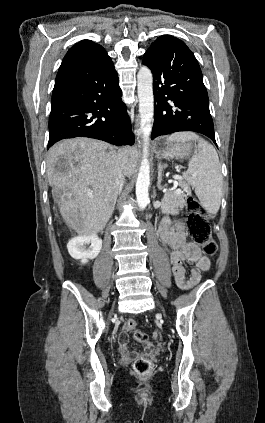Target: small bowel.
Returning a JSON list of instances; mask_svg holds the SVG:
<instances>
[{
	"label": "small bowel",
	"instance_id": "small-bowel-1",
	"mask_svg": "<svg viewBox=\"0 0 265 423\" xmlns=\"http://www.w3.org/2000/svg\"><path fill=\"white\" fill-rule=\"evenodd\" d=\"M158 233L171 261L176 284L182 289H190L198 284L201 280V273L209 270L210 261L195 244L186 240L184 226L181 223L172 225L171 220L165 218L159 226ZM185 262L194 263V268L188 279L185 277ZM119 349L125 359H131L134 356L129 351L126 331H122L119 335Z\"/></svg>",
	"mask_w": 265,
	"mask_h": 423
}]
</instances>
